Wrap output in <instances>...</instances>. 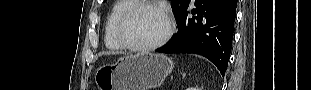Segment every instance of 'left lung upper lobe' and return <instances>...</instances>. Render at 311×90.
I'll return each mask as SVG.
<instances>
[{
	"label": "left lung upper lobe",
	"mask_w": 311,
	"mask_h": 90,
	"mask_svg": "<svg viewBox=\"0 0 311 90\" xmlns=\"http://www.w3.org/2000/svg\"><path fill=\"white\" fill-rule=\"evenodd\" d=\"M189 2L190 0H172L171 7H172V10L174 12L176 19L178 18L180 13L186 8Z\"/></svg>",
	"instance_id": "obj_1"
}]
</instances>
